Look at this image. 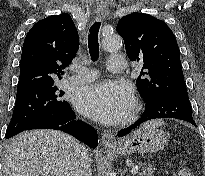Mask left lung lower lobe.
<instances>
[{
	"instance_id": "obj_1",
	"label": "left lung lower lobe",
	"mask_w": 205,
	"mask_h": 176,
	"mask_svg": "<svg viewBox=\"0 0 205 176\" xmlns=\"http://www.w3.org/2000/svg\"><path fill=\"white\" fill-rule=\"evenodd\" d=\"M146 102V109L140 119L130 127L121 130L119 137L125 136L139 125L157 118H176L196 126L192 118V107L186 87H171L156 94Z\"/></svg>"
}]
</instances>
